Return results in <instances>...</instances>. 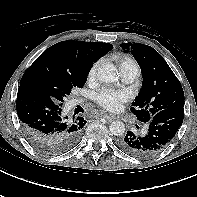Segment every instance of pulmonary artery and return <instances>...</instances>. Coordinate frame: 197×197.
I'll return each instance as SVG.
<instances>
[{"label": "pulmonary artery", "mask_w": 197, "mask_h": 197, "mask_svg": "<svg viewBox=\"0 0 197 197\" xmlns=\"http://www.w3.org/2000/svg\"><path fill=\"white\" fill-rule=\"evenodd\" d=\"M120 71H121L122 79L126 83L133 82L139 75V71L137 69L126 68V69H122ZM73 103L74 104L79 103V101L75 100Z\"/></svg>", "instance_id": "e3ab8cb5"}]
</instances>
